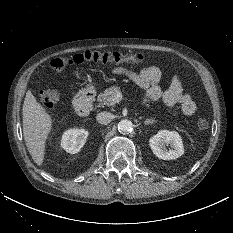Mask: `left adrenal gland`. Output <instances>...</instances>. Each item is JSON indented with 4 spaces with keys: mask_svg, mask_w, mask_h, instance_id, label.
I'll list each match as a JSON object with an SVG mask.
<instances>
[{
    "mask_svg": "<svg viewBox=\"0 0 233 233\" xmlns=\"http://www.w3.org/2000/svg\"><path fill=\"white\" fill-rule=\"evenodd\" d=\"M154 122H155L154 119H147L146 121H144V125L153 124Z\"/></svg>",
    "mask_w": 233,
    "mask_h": 233,
    "instance_id": "1",
    "label": "left adrenal gland"
}]
</instances>
